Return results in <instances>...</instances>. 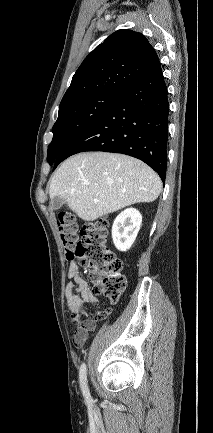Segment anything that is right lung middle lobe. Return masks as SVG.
Listing matches in <instances>:
<instances>
[{
  "label": "right lung middle lobe",
  "mask_w": 213,
  "mask_h": 433,
  "mask_svg": "<svg viewBox=\"0 0 213 433\" xmlns=\"http://www.w3.org/2000/svg\"><path fill=\"white\" fill-rule=\"evenodd\" d=\"M121 94L103 92L79 99L59 107L58 119L52 132L47 160L50 165L58 155L84 130L96 122Z\"/></svg>",
  "instance_id": "obj_1"
}]
</instances>
